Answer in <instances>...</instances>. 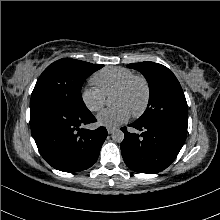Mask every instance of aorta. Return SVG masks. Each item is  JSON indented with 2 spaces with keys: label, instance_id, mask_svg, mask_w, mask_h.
<instances>
[{
  "label": "aorta",
  "instance_id": "aorta-1",
  "mask_svg": "<svg viewBox=\"0 0 220 220\" xmlns=\"http://www.w3.org/2000/svg\"><path fill=\"white\" fill-rule=\"evenodd\" d=\"M112 139L115 142L121 143L124 140V133L121 130H115L112 133Z\"/></svg>",
  "mask_w": 220,
  "mask_h": 220
}]
</instances>
